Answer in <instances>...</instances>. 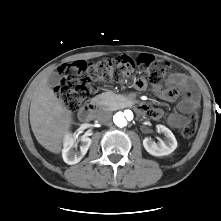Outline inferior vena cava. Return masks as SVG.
Returning a JSON list of instances; mask_svg holds the SVG:
<instances>
[{"instance_id": "602c4592", "label": "inferior vena cava", "mask_w": 221, "mask_h": 221, "mask_svg": "<svg viewBox=\"0 0 221 221\" xmlns=\"http://www.w3.org/2000/svg\"><path fill=\"white\" fill-rule=\"evenodd\" d=\"M112 113L107 110L99 111L97 114V120L103 124H107L111 121Z\"/></svg>"}]
</instances>
